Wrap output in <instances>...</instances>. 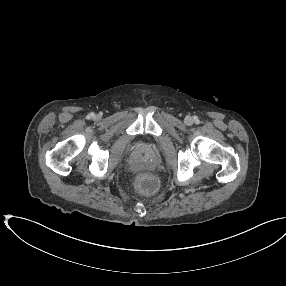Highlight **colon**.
Listing matches in <instances>:
<instances>
[{
  "label": "colon",
  "instance_id": "obj_1",
  "mask_svg": "<svg viewBox=\"0 0 286 286\" xmlns=\"http://www.w3.org/2000/svg\"><path fill=\"white\" fill-rule=\"evenodd\" d=\"M136 185L137 188L145 194L153 193L157 189V181L148 174L139 175Z\"/></svg>",
  "mask_w": 286,
  "mask_h": 286
}]
</instances>
